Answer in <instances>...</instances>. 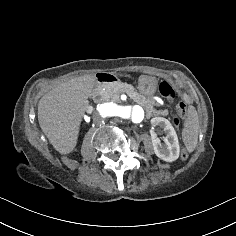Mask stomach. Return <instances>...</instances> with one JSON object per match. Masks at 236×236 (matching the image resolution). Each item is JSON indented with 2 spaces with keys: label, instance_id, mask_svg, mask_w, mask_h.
<instances>
[{
  "label": "stomach",
  "instance_id": "stomach-1",
  "mask_svg": "<svg viewBox=\"0 0 236 236\" xmlns=\"http://www.w3.org/2000/svg\"><path fill=\"white\" fill-rule=\"evenodd\" d=\"M158 80L153 76L141 75L138 80L140 93L152 95L157 88Z\"/></svg>",
  "mask_w": 236,
  "mask_h": 236
}]
</instances>
